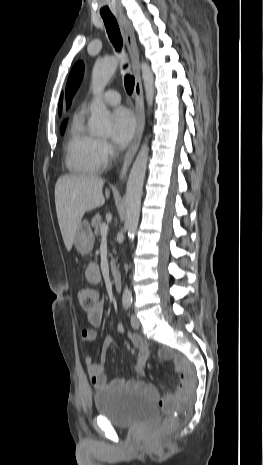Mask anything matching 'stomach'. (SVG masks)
Returning a JSON list of instances; mask_svg holds the SVG:
<instances>
[{"mask_svg":"<svg viewBox=\"0 0 263 465\" xmlns=\"http://www.w3.org/2000/svg\"><path fill=\"white\" fill-rule=\"evenodd\" d=\"M73 244L76 250L82 255H87L92 251L94 245V235L87 220L80 222L74 237Z\"/></svg>","mask_w":263,"mask_h":465,"instance_id":"stomach-1","label":"stomach"}]
</instances>
